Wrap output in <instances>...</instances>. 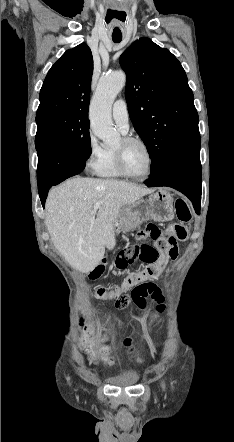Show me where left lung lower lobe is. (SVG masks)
<instances>
[{
	"instance_id": "0a47b994",
	"label": "left lung lower lobe",
	"mask_w": 234,
	"mask_h": 442,
	"mask_svg": "<svg viewBox=\"0 0 234 442\" xmlns=\"http://www.w3.org/2000/svg\"><path fill=\"white\" fill-rule=\"evenodd\" d=\"M202 172L200 164V134L194 132L172 151L165 166L145 181L149 187L168 186L186 195L197 212L200 211Z\"/></svg>"
}]
</instances>
